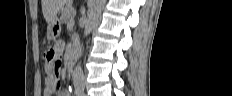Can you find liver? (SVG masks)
Segmentation results:
<instances>
[{"label":"liver","mask_w":232,"mask_h":96,"mask_svg":"<svg viewBox=\"0 0 232 96\" xmlns=\"http://www.w3.org/2000/svg\"><path fill=\"white\" fill-rule=\"evenodd\" d=\"M66 2L67 0H42V12L48 24L56 18L58 11Z\"/></svg>","instance_id":"6515ba94"}]
</instances>
